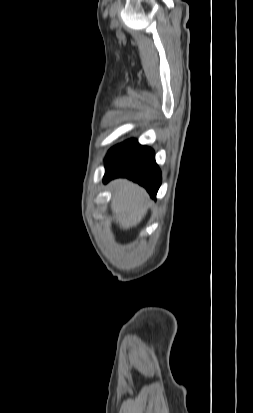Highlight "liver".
<instances>
[{
    "label": "liver",
    "mask_w": 253,
    "mask_h": 413,
    "mask_svg": "<svg viewBox=\"0 0 253 413\" xmlns=\"http://www.w3.org/2000/svg\"><path fill=\"white\" fill-rule=\"evenodd\" d=\"M113 192L111 209L118 218L120 228L129 229L137 226L148 210V195L139 185L126 179H117L110 183Z\"/></svg>",
    "instance_id": "6515ba94"
}]
</instances>
